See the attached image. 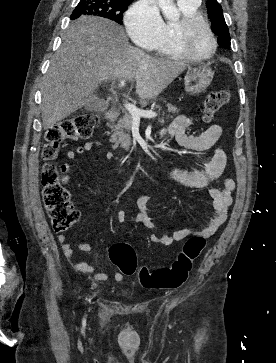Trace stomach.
<instances>
[{
  "mask_svg": "<svg viewBox=\"0 0 276 363\" xmlns=\"http://www.w3.org/2000/svg\"><path fill=\"white\" fill-rule=\"evenodd\" d=\"M212 78L213 72L207 66L189 67L184 78L185 91L193 96L203 93Z\"/></svg>",
  "mask_w": 276,
  "mask_h": 363,
  "instance_id": "obj_1",
  "label": "stomach"
}]
</instances>
